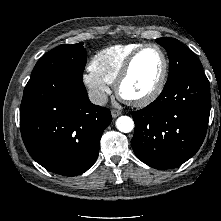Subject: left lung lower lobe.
Instances as JSON below:
<instances>
[{
	"mask_svg": "<svg viewBox=\"0 0 221 221\" xmlns=\"http://www.w3.org/2000/svg\"><path fill=\"white\" fill-rule=\"evenodd\" d=\"M210 107V86L203 69L166 84L154 102L132 113L135 155L156 169L180 166L201 147Z\"/></svg>",
	"mask_w": 221,
	"mask_h": 221,
	"instance_id": "1",
	"label": "left lung lower lobe"
}]
</instances>
